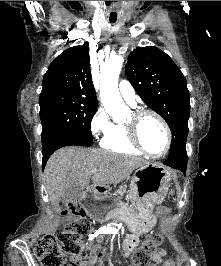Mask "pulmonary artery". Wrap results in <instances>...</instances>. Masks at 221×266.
<instances>
[{"label": "pulmonary artery", "instance_id": "1", "mask_svg": "<svg viewBox=\"0 0 221 266\" xmlns=\"http://www.w3.org/2000/svg\"><path fill=\"white\" fill-rule=\"evenodd\" d=\"M119 91L127 103H129L133 107L136 106L135 90L132 87V85L130 84V82H128L126 80H122L119 83Z\"/></svg>", "mask_w": 221, "mask_h": 266}]
</instances>
